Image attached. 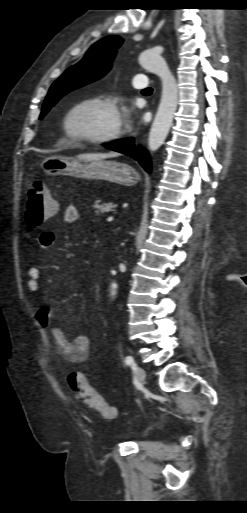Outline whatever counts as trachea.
<instances>
[{
    "label": "trachea",
    "instance_id": "obj_1",
    "mask_svg": "<svg viewBox=\"0 0 247 513\" xmlns=\"http://www.w3.org/2000/svg\"><path fill=\"white\" fill-rule=\"evenodd\" d=\"M143 93H151L152 92V88H146L142 91ZM245 280H247V277H244Z\"/></svg>",
    "mask_w": 247,
    "mask_h": 513
}]
</instances>
